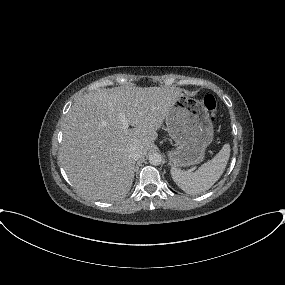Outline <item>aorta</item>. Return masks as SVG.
I'll return each instance as SVG.
<instances>
[{"instance_id":"obj_1","label":"aorta","mask_w":285,"mask_h":285,"mask_svg":"<svg viewBox=\"0 0 285 285\" xmlns=\"http://www.w3.org/2000/svg\"><path fill=\"white\" fill-rule=\"evenodd\" d=\"M162 162V156L159 153H152L149 155V163L151 165H160Z\"/></svg>"}]
</instances>
